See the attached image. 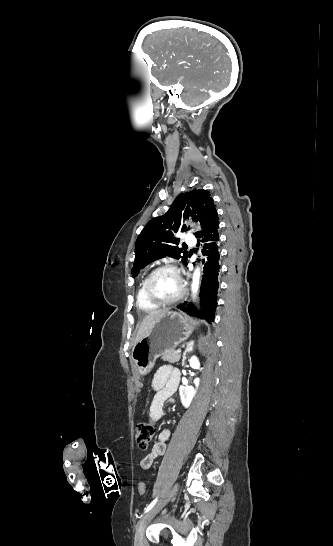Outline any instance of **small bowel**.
Returning <instances> with one entry per match:
<instances>
[{
  "label": "small bowel",
  "instance_id": "c3829d8e",
  "mask_svg": "<svg viewBox=\"0 0 333 546\" xmlns=\"http://www.w3.org/2000/svg\"><path fill=\"white\" fill-rule=\"evenodd\" d=\"M179 381L180 373L178 370L173 369L170 366H162L157 370L151 383V390L153 392V398L149 408V416L151 419L158 420L162 417L165 402L174 394L179 385ZM170 436L171 432L169 429H162L159 432L157 441L153 445L151 451L140 461V465L143 469H150L155 461L165 454Z\"/></svg>",
  "mask_w": 333,
  "mask_h": 546
}]
</instances>
